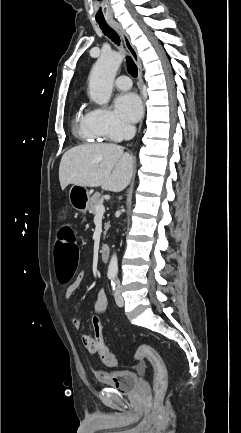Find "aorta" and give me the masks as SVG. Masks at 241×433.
Returning <instances> with one entry per match:
<instances>
[{"instance_id": "obj_1", "label": "aorta", "mask_w": 241, "mask_h": 433, "mask_svg": "<svg viewBox=\"0 0 241 433\" xmlns=\"http://www.w3.org/2000/svg\"><path fill=\"white\" fill-rule=\"evenodd\" d=\"M123 55L116 51L102 53L96 61L89 78V94L98 105H106L111 97L113 82L122 63ZM118 272V258L111 256L108 275L116 276Z\"/></svg>"}]
</instances>
